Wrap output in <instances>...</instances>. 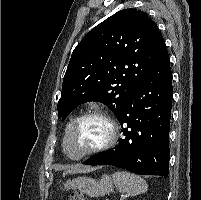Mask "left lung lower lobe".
<instances>
[{
  "label": "left lung lower lobe",
  "mask_w": 201,
  "mask_h": 200,
  "mask_svg": "<svg viewBox=\"0 0 201 200\" xmlns=\"http://www.w3.org/2000/svg\"><path fill=\"white\" fill-rule=\"evenodd\" d=\"M173 99L172 72L166 52L133 91L118 115L124 137L85 165H113L136 174L168 177L169 131Z\"/></svg>",
  "instance_id": "left-lung-lower-lobe-1"
}]
</instances>
